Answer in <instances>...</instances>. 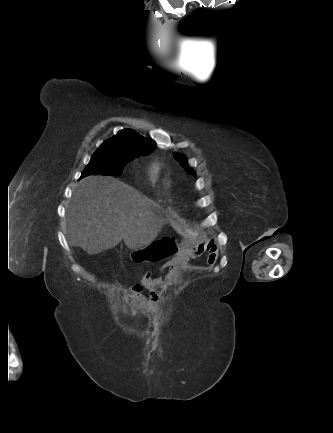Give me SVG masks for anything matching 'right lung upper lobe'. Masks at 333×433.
<instances>
[{
	"mask_svg": "<svg viewBox=\"0 0 333 433\" xmlns=\"http://www.w3.org/2000/svg\"><path fill=\"white\" fill-rule=\"evenodd\" d=\"M156 148V143L150 138H144L131 129H124L106 141L99 149L115 154L147 155Z\"/></svg>",
	"mask_w": 333,
	"mask_h": 433,
	"instance_id": "obj_1",
	"label": "right lung upper lobe"
}]
</instances>
